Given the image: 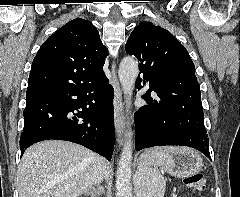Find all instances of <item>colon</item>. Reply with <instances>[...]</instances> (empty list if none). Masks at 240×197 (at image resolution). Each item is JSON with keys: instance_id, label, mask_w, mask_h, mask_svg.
<instances>
[{"instance_id": "obj_1", "label": "colon", "mask_w": 240, "mask_h": 197, "mask_svg": "<svg viewBox=\"0 0 240 197\" xmlns=\"http://www.w3.org/2000/svg\"><path fill=\"white\" fill-rule=\"evenodd\" d=\"M184 183L188 189L193 191H200L204 189L206 179L202 173H194L186 177Z\"/></svg>"}]
</instances>
